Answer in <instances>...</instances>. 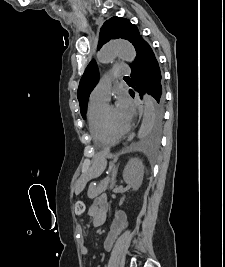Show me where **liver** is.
<instances>
[{
  "instance_id": "liver-1",
  "label": "liver",
  "mask_w": 225,
  "mask_h": 267,
  "mask_svg": "<svg viewBox=\"0 0 225 267\" xmlns=\"http://www.w3.org/2000/svg\"><path fill=\"white\" fill-rule=\"evenodd\" d=\"M105 156L106 153H100L95 157L94 165L89 172V177H97L104 171L106 167Z\"/></svg>"
}]
</instances>
